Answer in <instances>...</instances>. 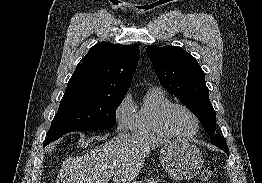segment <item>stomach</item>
<instances>
[{"instance_id": "stomach-1", "label": "stomach", "mask_w": 262, "mask_h": 183, "mask_svg": "<svg viewBox=\"0 0 262 183\" xmlns=\"http://www.w3.org/2000/svg\"><path fill=\"white\" fill-rule=\"evenodd\" d=\"M159 160L166 172L176 180H187L196 176L203 165L199 149L182 139L166 141L160 150ZM147 183H157V181L151 178Z\"/></svg>"}]
</instances>
